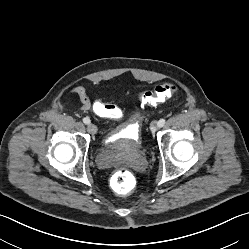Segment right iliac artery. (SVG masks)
<instances>
[{
	"label": "right iliac artery",
	"mask_w": 249,
	"mask_h": 249,
	"mask_svg": "<svg viewBox=\"0 0 249 249\" xmlns=\"http://www.w3.org/2000/svg\"><path fill=\"white\" fill-rule=\"evenodd\" d=\"M83 122L85 123V124H89L90 123V119L89 118H83Z\"/></svg>",
	"instance_id": "82829eb1"
}]
</instances>
